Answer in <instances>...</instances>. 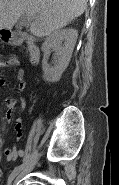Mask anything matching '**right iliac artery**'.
Returning a JSON list of instances; mask_svg holds the SVG:
<instances>
[{
  "mask_svg": "<svg viewBox=\"0 0 119 185\" xmlns=\"http://www.w3.org/2000/svg\"><path fill=\"white\" fill-rule=\"evenodd\" d=\"M27 163H24L22 165H19L17 167L14 168V170L12 171V173L10 174V176L8 177V185L12 182V180L15 178V176L20 172L21 169H23V167L26 165Z\"/></svg>",
  "mask_w": 119,
  "mask_h": 185,
  "instance_id": "82829eb1",
  "label": "right iliac artery"
}]
</instances>
